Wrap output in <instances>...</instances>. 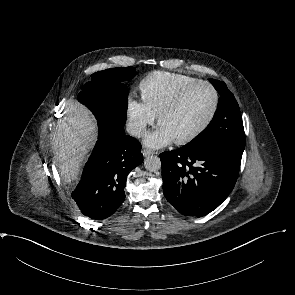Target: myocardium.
Listing matches in <instances>:
<instances>
[{
	"mask_svg": "<svg viewBox=\"0 0 295 295\" xmlns=\"http://www.w3.org/2000/svg\"><path fill=\"white\" fill-rule=\"evenodd\" d=\"M200 85L208 87L211 90V92L213 93L214 105H213L212 112H211L210 116L208 117V119L205 121V123L201 127H199L194 133H192L191 135H189L187 137L175 140V142L179 145H186V144L194 142L199 137H201L213 124V122L216 119V116L218 114L219 108H220V94H219L217 88L211 82H209L207 80H197V81L191 83L190 85L186 86L185 88H183L161 110V112L158 115V122H159V124H161L164 117H166L167 115L176 111L181 106V104L186 99V97L190 94V92Z\"/></svg>",
	"mask_w": 295,
	"mask_h": 295,
	"instance_id": "f54148a6",
	"label": "myocardium"
}]
</instances>
